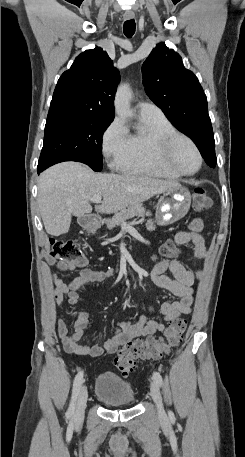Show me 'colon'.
Listing matches in <instances>:
<instances>
[{
  "label": "colon",
  "instance_id": "1",
  "mask_svg": "<svg viewBox=\"0 0 245 457\" xmlns=\"http://www.w3.org/2000/svg\"><path fill=\"white\" fill-rule=\"evenodd\" d=\"M194 206L202 211L212 204L211 197L205 189L198 187L193 195ZM51 256L56 259L72 261L80 266L85 264V256L81 246L73 240L50 239ZM177 252L176 245L172 241L165 243L160 254L164 257H171ZM187 329V321L183 318H176L171 321L160 337H148L144 340L137 339L126 343L117 353L114 365L121 375L128 376L137 367V360L160 359L176 347Z\"/></svg>",
  "mask_w": 245,
  "mask_h": 457
}]
</instances>
